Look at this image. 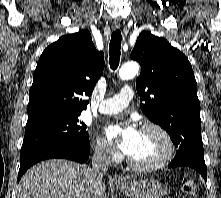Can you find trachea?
<instances>
[{"label":"trachea","instance_id":"obj_1","mask_svg":"<svg viewBox=\"0 0 221 198\" xmlns=\"http://www.w3.org/2000/svg\"><path fill=\"white\" fill-rule=\"evenodd\" d=\"M121 41L122 35L120 30L118 29L112 33L111 41L109 44V64L112 70H116L119 65L121 55Z\"/></svg>","mask_w":221,"mask_h":198}]
</instances>
